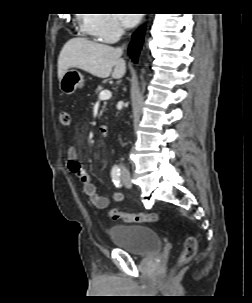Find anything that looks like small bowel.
<instances>
[{"label": "small bowel", "mask_w": 252, "mask_h": 303, "mask_svg": "<svg viewBox=\"0 0 252 303\" xmlns=\"http://www.w3.org/2000/svg\"><path fill=\"white\" fill-rule=\"evenodd\" d=\"M66 163L68 171L81 181L83 192L89 197L92 204L98 209L107 208L110 204V197L106 194L97 193L95 185L90 180V175L78 161L77 150L74 146H70L67 150ZM112 200L121 202L123 200L122 192H114Z\"/></svg>", "instance_id": "small-bowel-1"}]
</instances>
